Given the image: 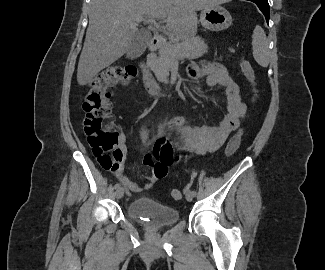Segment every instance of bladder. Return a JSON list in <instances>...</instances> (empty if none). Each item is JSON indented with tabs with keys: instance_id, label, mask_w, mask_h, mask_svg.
I'll return each mask as SVG.
<instances>
[{
	"instance_id": "31cf9c89",
	"label": "bladder",
	"mask_w": 325,
	"mask_h": 270,
	"mask_svg": "<svg viewBox=\"0 0 325 270\" xmlns=\"http://www.w3.org/2000/svg\"><path fill=\"white\" fill-rule=\"evenodd\" d=\"M126 212L131 219L151 228L171 226L180 220V213L176 208L149 197L133 200L127 206Z\"/></svg>"
}]
</instances>
